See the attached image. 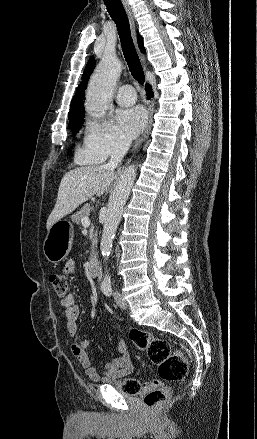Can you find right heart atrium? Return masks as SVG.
Listing matches in <instances>:
<instances>
[{"instance_id":"obj_1","label":"right heart atrium","mask_w":257,"mask_h":439,"mask_svg":"<svg viewBox=\"0 0 257 439\" xmlns=\"http://www.w3.org/2000/svg\"><path fill=\"white\" fill-rule=\"evenodd\" d=\"M127 144L126 136L112 120L89 118L84 124L78 158L87 163H101L123 153Z\"/></svg>"}]
</instances>
